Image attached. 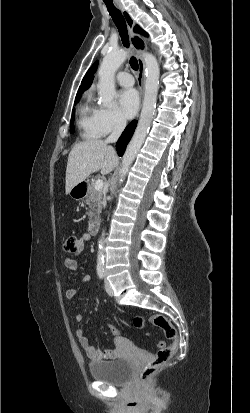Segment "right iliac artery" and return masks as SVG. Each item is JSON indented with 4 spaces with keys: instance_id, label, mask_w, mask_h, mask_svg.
Returning <instances> with one entry per match:
<instances>
[{
    "instance_id": "right-iliac-artery-1",
    "label": "right iliac artery",
    "mask_w": 250,
    "mask_h": 413,
    "mask_svg": "<svg viewBox=\"0 0 250 413\" xmlns=\"http://www.w3.org/2000/svg\"><path fill=\"white\" fill-rule=\"evenodd\" d=\"M97 274H98L100 279H103L105 277L104 265L103 264H98L97 265Z\"/></svg>"
}]
</instances>
